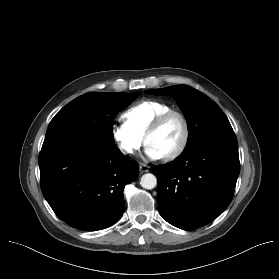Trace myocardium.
<instances>
[{"label":"myocardium","instance_id":"myocardium-1","mask_svg":"<svg viewBox=\"0 0 279 279\" xmlns=\"http://www.w3.org/2000/svg\"><path fill=\"white\" fill-rule=\"evenodd\" d=\"M178 117L183 125V137L182 140L180 142V144L178 145V147L172 151L171 153L163 156L162 158L165 161H170V160H174L176 158H178L180 155L183 154V152L186 150L189 141H190V136H191V129H190V123L188 118L186 117V115L184 113H182L181 111L178 110H168L162 114H160L151 124L150 126L147 128L143 139H144V143L147 145V138L150 134L156 132L157 130H159L161 128V126L170 118V117Z\"/></svg>","mask_w":279,"mask_h":279}]
</instances>
